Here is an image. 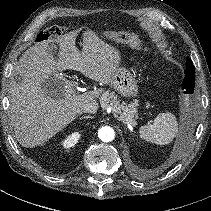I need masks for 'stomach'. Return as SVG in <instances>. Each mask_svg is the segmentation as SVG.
Returning a JSON list of instances; mask_svg holds the SVG:
<instances>
[{
    "instance_id": "obj_1",
    "label": "stomach",
    "mask_w": 211,
    "mask_h": 211,
    "mask_svg": "<svg viewBox=\"0 0 211 211\" xmlns=\"http://www.w3.org/2000/svg\"><path fill=\"white\" fill-rule=\"evenodd\" d=\"M114 38L119 42L129 43L133 36L118 32L114 34ZM112 86L125 97H134L138 93V85L131 74L125 67H120L112 79Z\"/></svg>"
}]
</instances>
